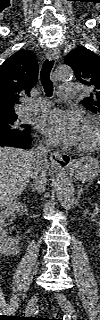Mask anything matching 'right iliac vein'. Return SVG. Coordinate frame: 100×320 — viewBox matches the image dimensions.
Wrapping results in <instances>:
<instances>
[{
  "instance_id": "1",
  "label": "right iliac vein",
  "mask_w": 100,
  "mask_h": 320,
  "mask_svg": "<svg viewBox=\"0 0 100 320\" xmlns=\"http://www.w3.org/2000/svg\"><path fill=\"white\" fill-rule=\"evenodd\" d=\"M37 301H38V296L37 295H34L27 303V306H26V310H25V314L26 315H30L32 313V311L35 309L36 307V304H37Z\"/></svg>"
}]
</instances>
